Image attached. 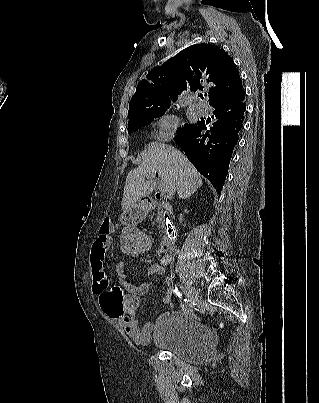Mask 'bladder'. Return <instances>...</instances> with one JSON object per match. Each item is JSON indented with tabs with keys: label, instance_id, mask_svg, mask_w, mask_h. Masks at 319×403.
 Wrapping results in <instances>:
<instances>
[{
	"label": "bladder",
	"instance_id": "bladder-1",
	"mask_svg": "<svg viewBox=\"0 0 319 403\" xmlns=\"http://www.w3.org/2000/svg\"><path fill=\"white\" fill-rule=\"evenodd\" d=\"M150 345L188 363H204L210 357L214 339L199 320L179 311L161 314L154 323Z\"/></svg>",
	"mask_w": 319,
	"mask_h": 403
}]
</instances>
